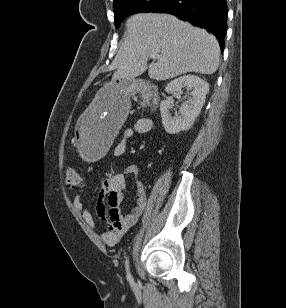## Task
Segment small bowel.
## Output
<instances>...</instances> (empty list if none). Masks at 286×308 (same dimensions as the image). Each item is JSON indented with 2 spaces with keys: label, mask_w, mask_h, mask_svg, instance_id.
Masks as SVG:
<instances>
[{
  "label": "small bowel",
  "mask_w": 286,
  "mask_h": 308,
  "mask_svg": "<svg viewBox=\"0 0 286 308\" xmlns=\"http://www.w3.org/2000/svg\"><path fill=\"white\" fill-rule=\"evenodd\" d=\"M155 124L149 118L139 119L132 128H126L123 131V141L115 149V155L121 156L125 151V141L134 134H145L154 131ZM140 168L135 164L128 165L125 170L104 180L99 192V198L96 205V212L101 220L109 222L110 228L101 233L103 242L108 246L118 244L123 235L133 227L146 208V186L143 181L138 180L136 186V205L132 210L122 215L120 205L124 200L127 191V178L129 176L139 177ZM73 205L81 214L85 223L91 227L96 226V221L91 212L84 205L81 195H77L73 199Z\"/></svg>",
  "instance_id": "1"
}]
</instances>
